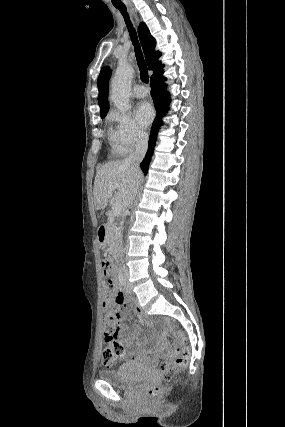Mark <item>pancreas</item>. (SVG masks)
Returning a JSON list of instances; mask_svg holds the SVG:
<instances>
[{"instance_id":"1","label":"pancreas","mask_w":285,"mask_h":427,"mask_svg":"<svg viewBox=\"0 0 285 427\" xmlns=\"http://www.w3.org/2000/svg\"><path fill=\"white\" fill-rule=\"evenodd\" d=\"M115 215H111V219L110 222L108 224V235H107V240L108 243L110 245L114 244L116 239H117V234H118V225L117 223L113 222Z\"/></svg>"}]
</instances>
